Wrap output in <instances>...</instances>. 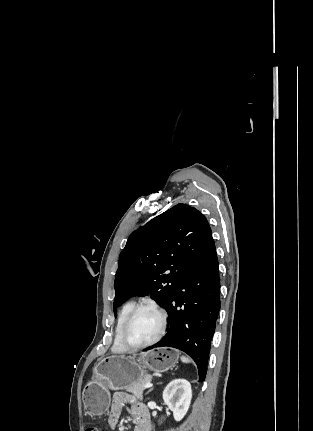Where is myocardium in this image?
Listing matches in <instances>:
<instances>
[{"label": "myocardium", "instance_id": "1", "mask_svg": "<svg viewBox=\"0 0 313 431\" xmlns=\"http://www.w3.org/2000/svg\"><path fill=\"white\" fill-rule=\"evenodd\" d=\"M146 308L154 310L159 315V318H160L159 331L154 338H152L150 341H148L146 343L137 344V345L132 344L127 339L128 330L130 328V325H131L133 319L137 315V313L139 311H141L142 309H146ZM166 326H167V315H166L165 310L162 307H160L158 304L153 303V302H143V303L137 304L130 311V313L128 314L127 318L124 321V324H123L122 329H121V334H120L121 343L127 350H139V349L149 347L161 339V337L165 333Z\"/></svg>", "mask_w": 313, "mask_h": 431}]
</instances>
